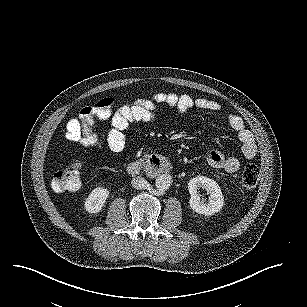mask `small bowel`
<instances>
[{
	"label": "small bowel",
	"instance_id": "obj_1",
	"mask_svg": "<svg viewBox=\"0 0 307 307\" xmlns=\"http://www.w3.org/2000/svg\"><path fill=\"white\" fill-rule=\"evenodd\" d=\"M157 103L165 104L170 110L183 114L192 108L208 112H219L221 106L216 101L207 98H194L187 94L156 93L150 98H137L129 105H123L114 113L111 111L101 115L100 119L110 120L106 133V142L110 150L121 151L126 144V130L129 125L137 122H153L157 117ZM227 120L230 127L236 132L242 143V153L247 159H252L257 154V146L252 132L245 126L242 118L236 114H228ZM81 127L77 119H71L67 124L66 138L72 142H79ZM208 164L215 169L227 172H237L241 168L239 159L233 156L226 157L219 150H210L206 154Z\"/></svg>",
	"mask_w": 307,
	"mask_h": 307
}]
</instances>
